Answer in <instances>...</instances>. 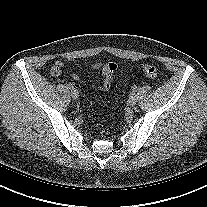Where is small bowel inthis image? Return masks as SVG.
I'll return each instance as SVG.
<instances>
[{
  "label": "small bowel",
  "mask_w": 207,
  "mask_h": 207,
  "mask_svg": "<svg viewBox=\"0 0 207 207\" xmlns=\"http://www.w3.org/2000/svg\"><path fill=\"white\" fill-rule=\"evenodd\" d=\"M90 67L94 70H100L101 77H102L101 83L93 85L92 87L97 91H108L112 86L114 76L118 70V64L115 62H106V63L95 62L91 64ZM62 73H63V63L57 61L51 69V74L54 77H59L62 75ZM71 77L75 81L79 80V75L76 73H73ZM70 84H72L73 87L80 89V85L74 83H70Z\"/></svg>",
  "instance_id": "1"
}]
</instances>
